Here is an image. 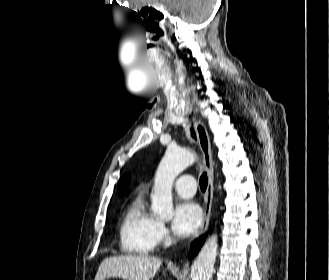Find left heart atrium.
<instances>
[{"label":"left heart atrium","instance_id":"39dd6f15","mask_svg":"<svg viewBox=\"0 0 329 280\" xmlns=\"http://www.w3.org/2000/svg\"><path fill=\"white\" fill-rule=\"evenodd\" d=\"M202 222L200 207L190 201H183L176 205L172 221V229L179 236H189L195 233Z\"/></svg>","mask_w":329,"mask_h":280}]
</instances>
